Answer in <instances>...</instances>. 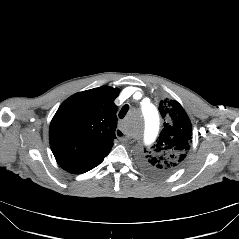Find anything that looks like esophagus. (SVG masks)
<instances>
[{
  "instance_id": "1",
  "label": "esophagus",
  "mask_w": 239,
  "mask_h": 239,
  "mask_svg": "<svg viewBox=\"0 0 239 239\" xmlns=\"http://www.w3.org/2000/svg\"><path fill=\"white\" fill-rule=\"evenodd\" d=\"M115 133H116L117 138H118L120 141H125V140L127 139V138L124 136V132H123L120 128H118Z\"/></svg>"
}]
</instances>
